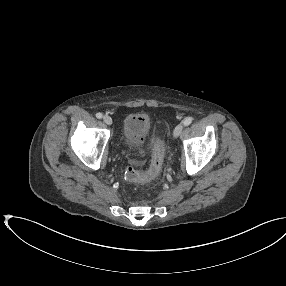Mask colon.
Masks as SVG:
<instances>
[{"label": "colon", "mask_w": 286, "mask_h": 286, "mask_svg": "<svg viewBox=\"0 0 286 286\" xmlns=\"http://www.w3.org/2000/svg\"><path fill=\"white\" fill-rule=\"evenodd\" d=\"M165 145L162 139H156L152 149L151 163L148 171L140 172L134 165L126 168L125 176L128 181L141 182L156 177L162 169L164 162Z\"/></svg>", "instance_id": "colon-1"}]
</instances>
